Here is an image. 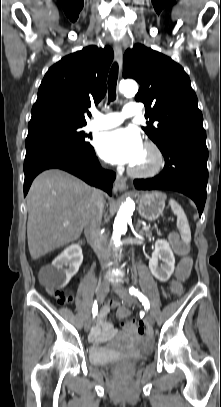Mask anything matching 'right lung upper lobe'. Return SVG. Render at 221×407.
Wrapping results in <instances>:
<instances>
[{
	"mask_svg": "<svg viewBox=\"0 0 221 407\" xmlns=\"http://www.w3.org/2000/svg\"><path fill=\"white\" fill-rule=\"evenodd\" d=\"M113 50L88 46L54 64L45 74L28 128L65 123L85 125L91 103L106 94Z\"/></svg>",
	"mask_w": 221,
	"mask_h": 407,
	"instance_id": "cb5924a9",
	"label": "right lung upper lobe"
}]
</instances>
